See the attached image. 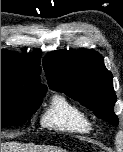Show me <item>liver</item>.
Here are the masks:
<instances>
[{"label":"liver","instance_id":"1","mask_svg":"<svg viewBox=\"0 0 123 152\" xmlns=\"http://www.w3.org/2000/svg\"><path fill=\"white\" fill-rule=\"evenodd\" d=\"M1 152H66L60 148L38 147L32 144H22L19 142L1 143Z\"/></svg>","mask_w":123,"mask_h":152}]
</instances>
